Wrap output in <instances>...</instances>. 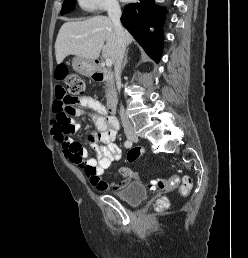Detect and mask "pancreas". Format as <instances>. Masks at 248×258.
Segmentation results:
<instances>
[{
	"instance_id": "pancreas-1",
	"label": "pancreas",
	"mask_w": 248,
	"mask_h": 258,
	"mask_svg": "<svg viewBox=\"0 0 248 258\" xmlns=\"http://www.w3.org/2000/svg\"><path fill=\"white\" fill-rule=\"evenodd\" d=\"M105 86H106V91L107 92L112 88V85H111V83L109 81L105 82Z\"/></svg>"
}]
</instances>
